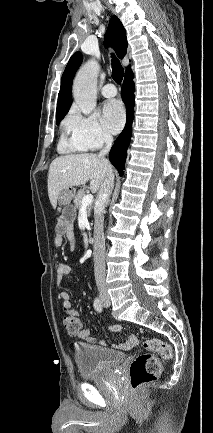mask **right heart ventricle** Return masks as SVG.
<instances>
[{
  "mask_svg": "<svg viewBox=\"0 0 213 433\" xmlns=\"http://www.w3.org/2000/svg\"><path fill=\"white\" fill-rule=\"evenodd\" d=\"M58 148L61 152H81L87 150L76 144L72 138L68 139L65 135L61 137Z\"/></svg>",
  "mask_w": 213,
  "mask_h": 433,
  "instance_id": "right-heart-ventricle-1",
  "label": "right heart ventricle"
}]
</instances>
